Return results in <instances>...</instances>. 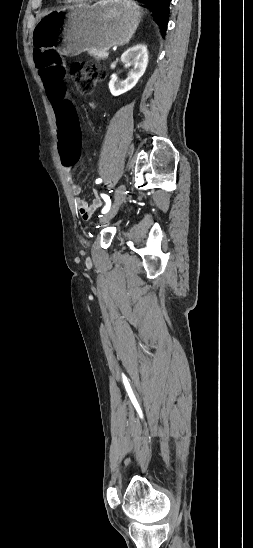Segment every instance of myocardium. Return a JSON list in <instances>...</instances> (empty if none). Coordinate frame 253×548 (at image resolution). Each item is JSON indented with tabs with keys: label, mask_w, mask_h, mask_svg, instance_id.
Instances as JSON below:
<instances>
[{
	"label": "myocardium",
	"mask_w": 253,
	"mask_h": 548,
	"mask_svg": "<svg viewBox=\"0 0 253 548\" xmlns=\"http://www.w3.org/2000/svg\"><path fill=\"white\" fill-rule=\"evenodd\" d=\"M66 2H85V1H93V0H63Z\"/></svg>",
	"instance_id": "1"
}]
</instances>
